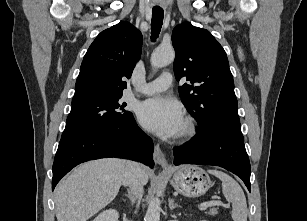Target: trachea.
<instances>
[{
	"label": "trachea",
	"mask_w": 307,
	"mask_h": 221,
	"mask_svg": "<svg viewBox=\"0 0 307 221\" xmlns=\"http://www.w3.org/2000/svg\"><path fill=\"white\" fill-rule=\"evenodd\" d=\"M163 24V9L153 8L152 9V20H151V39L154 41L158 38Z\"/></svg>",
	"instance_id": "trachea-1"
}]
</instances>
